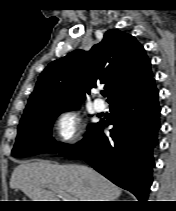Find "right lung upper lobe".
Masks as SVG:
<instances>
[{"label":"right lung upper lobe","instance_id":"right-lung-upper-lobe-1","mask_svg":"<svg viewBox=\"0 0 176 211\" xmlns=\"http://www.w3.org/2000/svg\"><path fill=\"white\" fill-rule=\"evenodd\" d=\"M153 75L144 48L130 34L108 30L88 52L75 50L51 62L40 74L22 118L48 109L78 106L84 91L104 84L108 102L131 98L144 90Z\"/></svg>","mask_w":176,"mask_h":211}]
</instances>
